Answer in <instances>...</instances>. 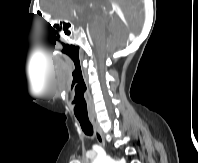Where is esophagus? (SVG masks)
Returning a JSON list of instances; mask_svg holds the SVG:
<instances>
[{"instance_id": "esophagus-1", "label": "esophagus", "mask_w": 198, "mask_h": 163, "mask_svg": "<svg viewBox=\"0 0 198 163\" xmlns=\"http://www.w3.org/2000/svg\"><path fill=\"white\" fill-rule=\"evenodd\" d=\"M90 122L93 126L94 134H95L97 142L100 145L105 146V136H104V133L102 132L99 124H98V121L96 120V118L91 117Z\"/></svg>"}]
</instances>
